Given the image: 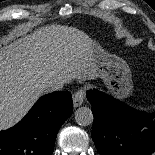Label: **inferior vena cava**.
Returning <instances> with one entry per match:
<instances>
[{"mask_svg": "<svg viewBox=\"0 0 155 155\" xmlns=\"http://www.w3.org/2000/svg\"><path fill=\"white\" fill-rule=\"evenodd\" d=\"M63 89V83L61 82H49L44 88L43 91L45 93H51L54 91H60Z\"/></svg>", "mask_w": 155, "mask_h": 155, "instance_id": "inferior-vena-cava-1", "label": "inferior vena cava"}]
</instances>
